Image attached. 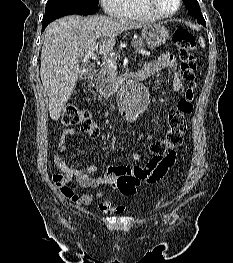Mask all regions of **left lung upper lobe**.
<instances>
[{
  "label": "left lung upper lobe",
  "instance_id": "left-lung-upper-lobe-1",
  "mask_svg": "<svg viewBox=\"0 0 233 263\" xmlns=\"http://www.w3.org/2000/svg\"><path fill=\"white\" fill-rule=\"evenodd\" d=\"M183 2L185 3V6L187 7L190 15L197 18L199 24L206 26V22L204 20V17L202 16L197 0H183Z\"/></svg>",
  "mask_w": 233,
  "mask_h": 263
}]
</instances>
